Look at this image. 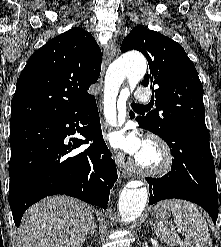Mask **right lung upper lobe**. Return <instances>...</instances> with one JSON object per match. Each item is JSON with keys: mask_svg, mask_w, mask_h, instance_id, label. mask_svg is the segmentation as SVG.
I'll use <instances>...</instances> for the list:
<instances>
[{"mask_svg": "<svg viewBox=\"0 0 221 247\" xmlns=\"http://www.w3.org/2000/svg\"><path fill=\"white\" fill-rule=\"evenodd\" d=\"M102 54L81 28L53 38L27 61L11 101L10 124L64 117L94 96L87 90L100 75Z\"/></svg>", "mask_w": 221, "mask_h": 247, "instance_id": "obj_1", "label": "right lung upper lobe"}]
</instances>
